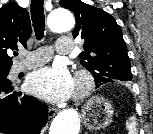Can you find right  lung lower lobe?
<instances>
[{"label":"right lung lower lobe","instance_id":"obj_1","mask_svg":"<svg viewBox=\"0 0 153 134\" xmlns=\"http://www.w3.org/2000/svg\"><path fill=\"white\" fill-rule=\"evenodd\" d=\"M13 89L11 82L0 78V133L38 134L47 122L46 106Z\"/></svg>","mask_w":153,"mask_h":134}]
</instances>
